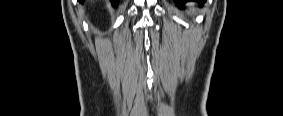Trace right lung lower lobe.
I'll return each instance as SVG.
<instances>
[{"mask_svg": "<svg viewBox=\"0 0 283 116\" xmlns=\"http://www.w3.org/2000/svg\"><path fill=\"white\" fill-rule=\"evenodd\" d=\"M119 0H111L113 6H117Z\"/></svg>", "mask_w": 283, "mask_h": 116, "instance_id": "obj_1", "label": "right lung lower lobe"}]
</instances>
